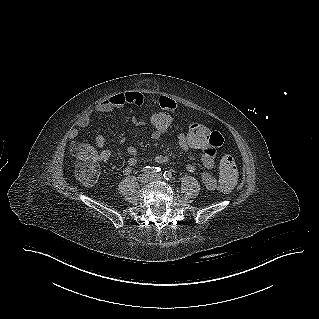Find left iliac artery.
Instances as JSON below:
<instances>
[{"instance_id":"44dca946","label":"left iliac artery","mask_w":319,"mask_h":319,"mask_svg":"<svg viewBox=\"0 0 319 319\" xmlns=\"http://www.w3.org/2000/svg\"><path fill=\"white\" fill-rule=\"evenodd\" d=\"M163 176H164V178H165L167 181H169V180L172 179V173H171L170 171H165V172L163 173Z\"/></svg>"}]
</instances>
